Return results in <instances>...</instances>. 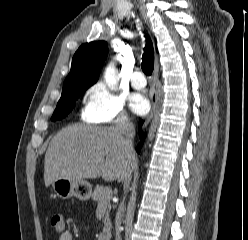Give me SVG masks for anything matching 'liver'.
<instances>
[{
  "label": "liver",
  "instance_id": "liver-1",
  "mask_svg": "<svg viewBox=\"0 0 248 240\" xmlns=\"http://www.w3.org/2000/svg\"><path fill=\"white\" fill-rule=\"evenodd\" d=\"M136 165L134 149L126 147L115 127L72 125L59 131L45 154L44 182L60 178L122 181Z\"/></svg>",
  "mask_w": 248,
  "mask_h": 240
}]
</instances>
